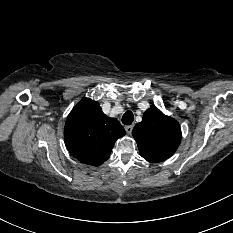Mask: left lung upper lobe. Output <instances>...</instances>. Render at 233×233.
<instances>
[{
    "instance_id": "left-lung-upper-lobe-1",
    "label": "left lung upper lobe",
    "mask_w": 233,
    "mask_h": 233,
    "mask_svg": "<svg viewBox=\"0 0 233 233\" xmlns=\"http://www.w3.org/2000/svg\"><path fill=\"white\" fill-rule=\"evenodd\" d=\"M140 155L149 162H160L171 157L181 142L179 123L152 105L143 119L133 128Z\"/></svg>"
}]
</instances>
